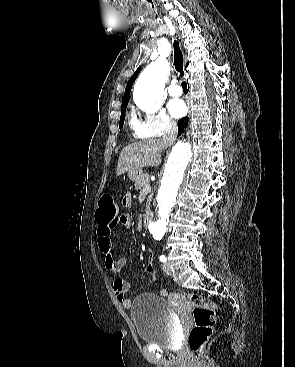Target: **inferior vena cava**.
Here are the masks:
<instances>
[{
	"label": "inferior vena cava",
	"instance_id": "inferior-vena-cava-1",
	"mask_svg": "<svg viewBox=\"0 0 295 367\" xmlns=\"http://www.w3.org/2000/svg\"><path fill=\"white\" fill-rule=\"evenodd\" d=\"M176 137H177V126L171 123L167 124L162 138L163 143L166 146H171L175 142Z\"/></svg>",
	"mask_w": 295,
	"mask_h": 367
}]
</instances>
